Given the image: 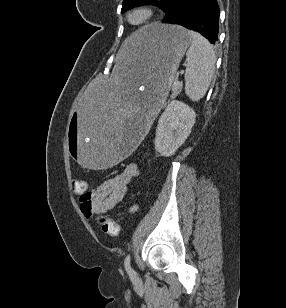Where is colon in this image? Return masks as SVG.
I'll return each mask as SVG.
<instances>
[{"label": "colon", "mask_w": 286, "mask_h": 308, "mask_svg": "<svg viewBox=\"0 0 286 308\" xmlns=\"http://www.w3.org/2000/svg\"><path fill=\"white\" fill-rule=\"evenodd\" d=\"M71 188L75 193H81L86 190V184L85 181L82 179H73L71 183ZM137 208L136 205H132L129 207L128 211L133 212ZM99 225L103 233L116 237L120 234V226L119 224L109 218L100 217L99 218Z\"/></svg>", "instance_id": "obj_1"}]
</instances>
